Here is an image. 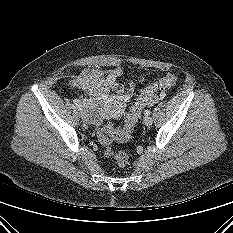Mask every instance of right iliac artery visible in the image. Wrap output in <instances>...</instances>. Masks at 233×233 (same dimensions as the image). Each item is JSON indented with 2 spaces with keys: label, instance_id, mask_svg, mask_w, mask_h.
<instances>
[{
  "label": "right iliac artery",
  "instance_id": "right-iliac-artery-1",
  "mask_svg": "<svg viewBox=\"0 0 233 233\" xmlns=\"http://www.w3.org/2000/svg\"><path fill=\"white\" fill-rule=\"evenodd\" d=\"M74 104L76 105V107H77L79 110H81L82 104H81V102H80L79 99H74Z\"/></svg>",
  "mask_w": 233,
  "mask_h": 233
}]
</instances>
